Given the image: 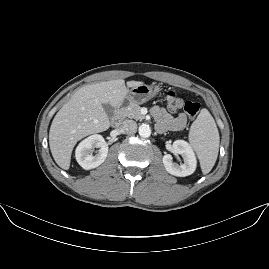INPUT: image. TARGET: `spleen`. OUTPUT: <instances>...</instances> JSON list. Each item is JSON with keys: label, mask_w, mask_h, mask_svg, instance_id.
Listing matches in <instances>:
<instances>
[{"label": "spleen", "mask_w": 269, "mask_h": 269, "mask_svg": "<svg viewBox=\"0 0 269 269\" xmlns=\"http://www.w3.org/2000/svg\"><path fill=\"white\" fill-rule=\"evenodd\" d=\"M190 141L200 158L203 173L207 174L216 162L219 149L218 129L207 109H202L194 121Z\"/></svg>", "instance_id": "3e777b00"}]
</instances>
